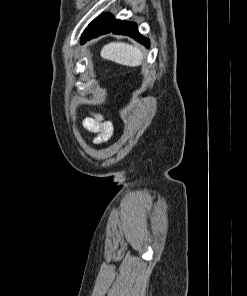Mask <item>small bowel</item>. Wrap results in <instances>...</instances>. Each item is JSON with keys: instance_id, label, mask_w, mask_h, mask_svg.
I'll return each mask as SVG.
<instances>
[{"instance_id": "1", "label": "small bowel", "mask_w": 247, "mask_h": 296, "mask_svg": "<svg viewBox=\"0 0 247 296\" xmlns=\"http://www.w3.org/2000/svg\"><path fill=\"white\" fill-rule=\"evenodd\" d=\"M83 125L89 132L96 134L95 142L100 143L108 140L113 132V125L106 121L100 114H91L83 120Z\"/></svg>"}]
</instances>
